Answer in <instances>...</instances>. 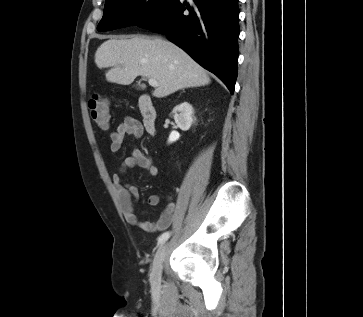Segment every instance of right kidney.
Wrapping results in <instances>:
<instances>
[{"label": "right kidney", "instance_id": "ca27d5eb", "mask_svg": "<svg viewBox=\"0 0 363 317\" xmlns=\"http://www.w3.org/2000/svg\"><path fill=\"white\" fill-rule=\"evenodd\" d=\"M173 113L177 126L183 131L189 130L194 122L192 105L187 102L181 103L173 109Z\"/></svg>", "mask_w": 363, "mask_h": 317}]
</instances>
